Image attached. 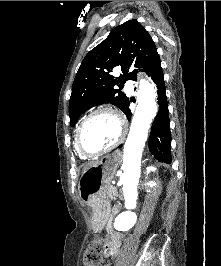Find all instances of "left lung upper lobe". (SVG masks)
<instances>
[{
	"mask_svg": "<svg viewBox=\"0 0 221 266\" xmlns=\"http://www.w3.org/2000/svg\"><path fill=\"white\" fill-rule=\"evenodd\" d=\"M160 62L156 46L137 20H129L114 28L108 37L83 59L72 85L69 102L70 124L89 108L111 103L124 111L129 99L120 91L127 80H136L137 69L148 73ZM121 67L117 80L110 74ZM119 89H116L115 86Z\"/></svg>",
	"mask_w": 221,
	"mask_h": 266,
	"instance_id": "obj_1",
	"label": "left lung upper lobe"
}]
</instances>
